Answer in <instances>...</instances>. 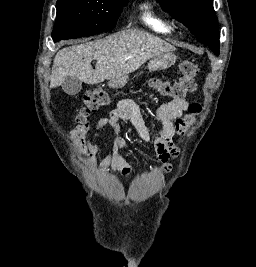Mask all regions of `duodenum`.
I'll return each instance as SVG.
<instances>
[{
    "instance_id": "duodenum-1",
    "label": "duodenum",
    "mask_w": 256,
    "mask_h": 267,
    "mask_svg": "<svg viewBox=\"0 0 256 267\" xmlns=\"http://www.w3.org/2000/svg\"><path fill=\"white\" fill-rule=\"evenodd\" d=\"M147 70H150V67H147ZM129 82V77L124 75V77L111 78L110 83H106V88L108 90H115V88H120V86H127Z\"/></svg>"
}]
</instances>
